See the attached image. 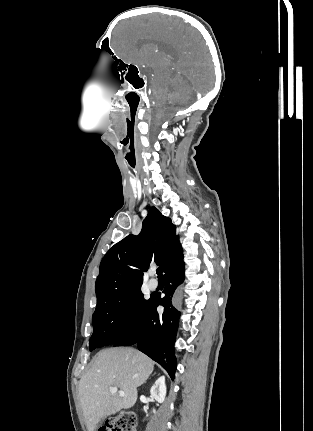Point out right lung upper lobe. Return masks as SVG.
<instances>
[{"instance_id":"1","label":"right lung upper lobe","mask_w":313,"mask_h":431,"mask_svg":"<svg viewBox=\"0 0 313 431\" xmlns=\"http://www.w3.org/2000/svg\"><path fill=\"white\" fill-rule=\"evenodd\" d=\"M182 251L176 226L152 207L139 235H128L116 243L100 263L95 290L97 303L141 288L143 272L155 261L164 272Z\"/></svg>"}]
</instances>
